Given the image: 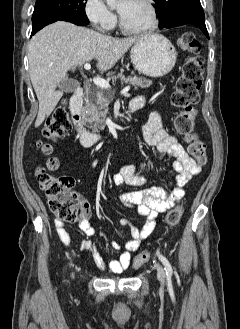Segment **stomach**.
Instances as JSON below:
<instances>
[{
	"label": "stomach",
	"instance_id": "0dacf381",
	"mask_svg": "<svg viewBox=\"0 0 240 329\" xmlns=\"http://www.w3.org/2000/svg\"><path fill=\"white\" fill-rule=\"evenodd\" d=\"M130 57L139 73L161 77L173 69L177 52L167 38L152 33L138 38L131 49Z\"/></svg>",
	"mask_w": 240,
	"mask_h": 329
}]
</instances>
